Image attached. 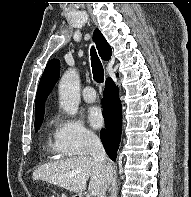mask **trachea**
I'll return each instance as SVG.
<instances>
[{
	"instance_id": "obj_1",
	"label": "trachea",
	"mask_w": 191,
	"mask_h": 197,
	"mask_svg": "<svg viewBox=\"0 0 191 197\" xmlns=\"http://www.w3.org/2000/svg\"><path fill=\"white\" fill-rule=\"evenodd\" d=\"M91 65L93 79L97 83H102L104 81V69L94 47L91 48Z\"/></svg>"
}]
</instances>
